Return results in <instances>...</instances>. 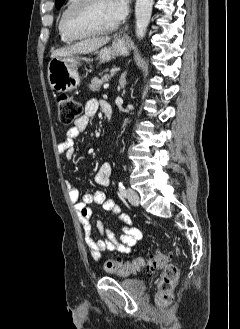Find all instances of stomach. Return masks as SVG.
Instances as JSON below:
<instances>
[{"mask_svg": "<svg viewBox=\"0 0 240 329\" xmlns=\"http://www.w3.org/2000/svg\"><path fill=\"white\" fill-rule=\"evenodd\" d=\"M98 53L102 62L110 61L116 55H128L129 49L123 39L117 38L112 46L104 47ZM77 55L53 57L48 64V82L54 91L65 93L76 89L80 84Z\"/></svg>", "mask_w": 240, "mask_h": 329, "instance_id": "1", "label": "stomach"}]
</instances>
